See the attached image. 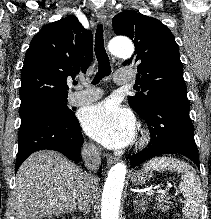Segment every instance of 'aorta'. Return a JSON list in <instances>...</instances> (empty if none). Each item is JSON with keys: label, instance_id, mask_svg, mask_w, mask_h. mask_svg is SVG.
I'll return each instance as SVG.
<instances>
[{"label": "aorta", "instance_id": "aorta-1", "mask_svg": "<svg viewBox=\"0 0 211 219\" xmlns=\"http://www.w3.org/2000/svg\"><path fill=\"white\" fill-rule=\"evenodd\" d=\"M111 51L115 56L128 59L132 56L134 46L128 39L113 42ZM127 168L123 162L115 164L109 170L102 193L101 219H118L120 199Z\"/></svg>", "mask_w": 211, "mask_h": 219}]
</instances>
